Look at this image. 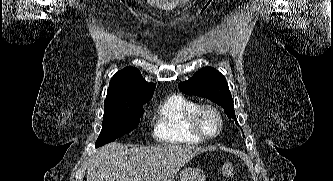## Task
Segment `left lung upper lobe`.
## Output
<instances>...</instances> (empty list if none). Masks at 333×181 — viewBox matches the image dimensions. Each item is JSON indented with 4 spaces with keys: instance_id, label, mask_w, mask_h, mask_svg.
Returning a JSON list of instances; mask_svg holds the SVG:
<instances>
[{
    "instance_id": "5c2ea615",
    "label": "left lung upper lobe",
    "mask_w": 333,
    "mask_h": 181,
    "mask_svg": "<svg viewBox=\"0 0 333 181\" xmlns=\"http://www.w3.org/2000/svg\"><path fill=\"white\" fill-rule=\"evenodd\" d=\"M179 89L185 94L208 98L216 102L224 108L229 118L236 120L228 84L225 77L216 69L205 67L198 70L188 81L180 82ZM236 124L238 125L237 121Z\"/></svg>"
}]
</instances>
